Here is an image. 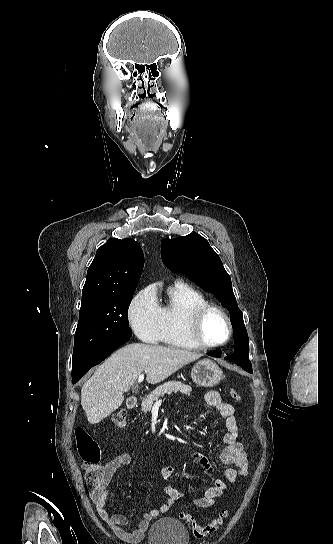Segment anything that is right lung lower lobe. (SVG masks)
I'll use <instances>...</instances> for the list:
<instances>
[{"instance_id":"right-lung-lower-lobe-1","label":"right lung lower lobe","mask_w":333,"mask_h":544,"mask_svg":"<svg viewBox=\"0 0 333 544\" xmlns=\"http://www.w3.org/2000/svg\"><path fill=\"white\" fill-rule=\"evenodd\" d=\"M132 335H121L105 343L96 349L89 356L78 362L72 367V383L75 384L86 374L90 368L102 362L112 354L119 346L126 343Z\"/></svg>"}]
</instances>
